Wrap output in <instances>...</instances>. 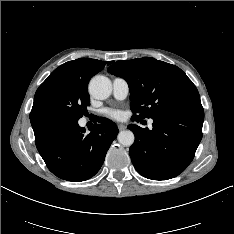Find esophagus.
Instances as JSON below:
<instances>
[{"instance_id":"1","label":"esophagus","mask_w":234,"mask_h":234,"mask_svg":"<svg viewBox=\"0 0 234 234\" xmlns=\"http://www.w3.org/2000/svg\"><path fill=\"white\" fill-rule=\"evenodd\" d=\"M118 129L124 130V129H126V126L124 124H118Z\"/></svg>"}]
</instances>
